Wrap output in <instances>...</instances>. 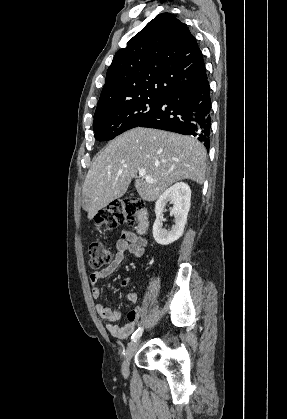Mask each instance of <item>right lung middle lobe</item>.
Wrapping results in <instances>:
<instances>
[{
	"label": "right lung middle lobe",
	"instance_id": "obj_1",
	"mask_svg": "<svg viewBox=\"0 0 287 419\" xmlns=\"http://www.w3.org/2000/svg\"><path fill=\"white\" fill-rule=\"evenodd\" d=\"M163 97H146L126 101L96 112L93 130L99 141H108L139 126L160 105Z\"/></svg>",
	"mask_w": 287,
	"mask_h": 419
}]
</instances>
